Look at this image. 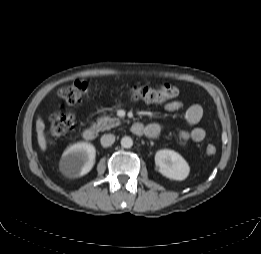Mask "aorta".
<instances>
[{
    "label": "aorta",
    "mask_w": 261,
    "mask_h": 254,
    "mask_svg": "<svg viewBox=\"0 0 261 254\" xmlns=\"http://www.w3.org/2000/svg\"><path fill=\"white\" fill-rule=\"evenodd\" d=\"M121 146L123 148H131L133 146V140L131 137L125 136L121 139Z\"/></svg>",
    "instance_id": "aorta-1"
}]
</instances>
